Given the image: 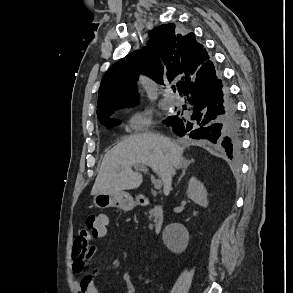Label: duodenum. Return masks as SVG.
<instances>
[{"mask_svg":"<svg viewBox=\"0 0 293 293\" xmlns=\"http://www.w3.org/2000/svg\"><path fill=\"white\" fill-rule=\"evenodd\" d=\"M139 203L141 205H153V231L158 234L164 224V213L160 204L154 203L147 195H142L139 198Z\"/></svg>","mask_w":293,"mask_h":293,"instance_id":"obj_1","label":"duodenum"}]
</instances>
